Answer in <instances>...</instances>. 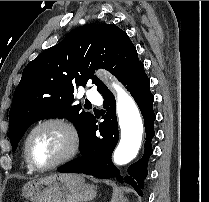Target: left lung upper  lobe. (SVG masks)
<instances>
[{
    "label": "left lung upper lobe",
    "mask_w": 209,
    "mask_h": 202,
    "mask_svg": "<svg viewBox=\"0 0 209 202\" xmlns=\"http://www.w3.org/2000/svg\"><path fill=\"white\" fill-rule=\"evenodd\" d=\"M141 63L130 38L116 25L88 24L71 31L23 70L9 112L12 151L28 127L47 118L67 117L82 139L95 116L72 105L74 86L92 81L104 94L108 88L94 75L96 69L105 68L121 81Z\"/></svg>",
    "instance_id": "left-lung-upper-lobe-1"
}]
</instances>
